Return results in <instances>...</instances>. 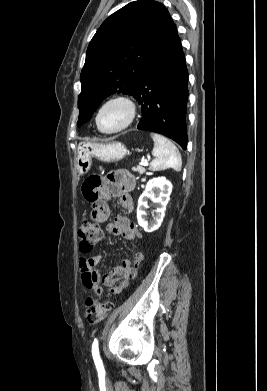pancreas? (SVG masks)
<instances>
[{"instance_id": "1", "label": "pancreas", "mask_w": 267, "mask_h": 391, "mask_svg": "<svg viewBox=\"0 0 267 391\" xmlns=\"http://www.w3.org/2000/svg\"><path fill=\"white\" fill-rule=\"evenodd\" d=\"M132 170L134 172H139L140 174H143L145 172V168H143L142 166L133 167Z\"/></svg>"}]
</instances>
